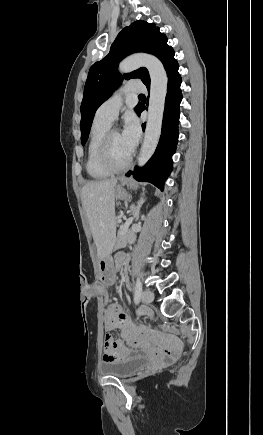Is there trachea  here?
<instances>
[{
  "label": "trachea",
  "mask_w": 263,
  "mask_h": 435,
  "mask_svg": "<svg viewBox=\"0 0 263 435\" xmlns=\"http://www.w3.org/2000/svg\"><path fill=\"white\" fill-rule=\"evenodd\" d=\"M139 97H145L143 94H140Z\"/></svg>",
  "instance_id": "3493384b"
}]
</instances>
